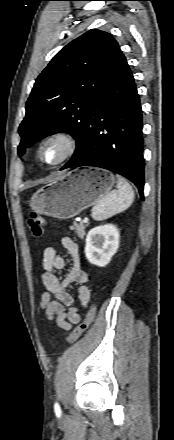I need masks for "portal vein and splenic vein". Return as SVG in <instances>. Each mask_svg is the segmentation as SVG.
<instances>
[{"instance_id":"1","label":"portal vein and splenic vein","mask_w":174,"mask_h":440,"mask_svg":"<svg viewBox=\"0 0 174 440\" xmlns=\"http://www.w3.org/2000/svg\"><path fill=\"white\" fill-rule=\"evenodd\" d=\"M89 221L88 217H84L83 222L87 223Z\"/></svg>"}]
</instances>
